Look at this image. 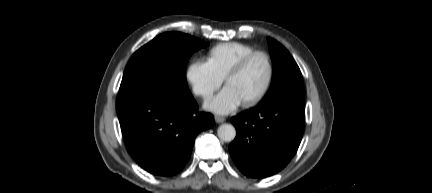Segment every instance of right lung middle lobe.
Segmentation results:
<instances>
[{
  "mask_svg": "<svg viewBox=\"0 0 432 193\" xmlns=\"http://www.w3.org/2000/svg\"><path fill=\"white\" fill-rule=\"evenodd\" d=\"M207 43L180 32L163 33L138 49L124 71L119 89L123 97L141 89L173 96L190 95L186 81L189 57Z\"/></svg>",
  "mask_w": 432,
  "mask_h": 193,
  "instance_id": "right-lung-middle-lobe-1",
  "label": "right lung middle lobe"
}]
</instances>
